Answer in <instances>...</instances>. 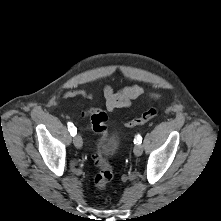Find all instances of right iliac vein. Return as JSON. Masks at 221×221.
I'll list each match as a JSON object with an SVG mask.
<instances>
[{"mask_svg":"<svg viewBox=\"0 0 221 221\" xmlns=\"http://www.w3.org/2000/svg\"><path fill=\"white\" fill-rule=\"evenodd\" d=\"M73 143L76 148L80 149L83 145L82 137L80 135H75L73 138Z\"/></svg>","mask_w":221,"mask_h":221,"instance_id":"obj_1","label":"right iliac vein"}]
</instances>
